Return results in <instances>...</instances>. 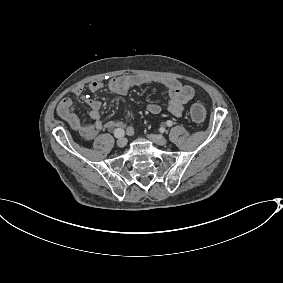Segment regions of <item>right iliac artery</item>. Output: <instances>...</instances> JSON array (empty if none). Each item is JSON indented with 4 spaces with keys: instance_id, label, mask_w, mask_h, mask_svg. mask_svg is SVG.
Wrapping results in <instances>:
<instances>
[{
    "instance_id": "obj_1",
    "label": "right iliac artery",
    "mask_w": 283,
    "mask_h": 283,
    "mask_svg": "<svg viewBox=\"0 0 283 283\" xmlns=\"http://www.w3.org/2000/svg\"><path fill=\"white\" fill-rule=\"evenodd\" d=\"M124 135H125V132H124V130L121 129V128H117V129L114 131V136H115L116 138H121V137H123Z\"/></svg>"
}]
</instances>
